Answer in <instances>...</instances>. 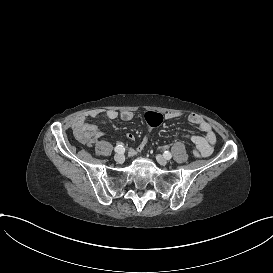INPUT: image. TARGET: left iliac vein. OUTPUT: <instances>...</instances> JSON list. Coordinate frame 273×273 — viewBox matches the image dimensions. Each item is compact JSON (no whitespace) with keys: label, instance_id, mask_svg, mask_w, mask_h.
<instances>
[{"label":"left iliac vein","instance_id":"4c4485c4","mask_svg":"<svg viewBox=\"0 0 273 273\" xmlns=\"http://www.w3.org/2000/svg\"><path fill=\"white\" fill-rule=\"evenodd\" d=\"M157 160H158L159 164H161V165L167 164V159L162 155H157Z\"/></svg>","mask_w":273,"mask_h":273}]
</instances>
